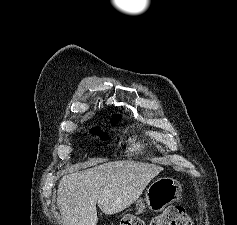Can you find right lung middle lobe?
I'll use <instances>...</instances> for the list:
<instances>
[{"label": "right lung middle lobe", "mask_w": 237, "mask_h": 225, "mask_svg": "<svg viewBox=\"0 0 237 225\" xmlns=\"http://www.w3.org/2000/svg\"><path fill=\"white\" fill-rule=\"evenodd\" d=\"M122 116H113L111 119V124L115 125L121 120ZM92 134H97L101 137L102 140H107L108 136L105 132L100 131L99 127H96L94 130H92Z\"/></svg>", "instance_id": "right-lung-middle-lobe-1"}]
</instances>
